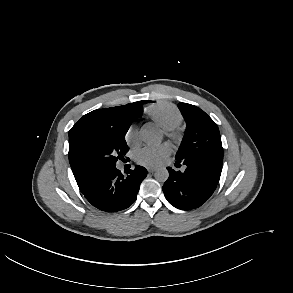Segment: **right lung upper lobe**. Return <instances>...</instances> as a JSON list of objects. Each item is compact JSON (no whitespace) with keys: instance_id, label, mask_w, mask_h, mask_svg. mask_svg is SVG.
I'll list each match as a JSON object with an SVG mask.
<instances>
[{"instance_id":"obj_1","label":"right lung upper lobe","mask_w":293,"mask_h":293,"mask_svg":"<svg viewBox=\"0 0 293 293\" xmlns=\"http://www.w3.org/2000/svg\"><path fill=\"white\" fill-rule=\"evenodd\" d=\"M144 103L146 102L138 101L135 103L124 105V106L94 110L84 115L69 131V153H68L69 162L81 192H84L85 190H87L92 185L94 180L98 177V175L101 174L104 170L91 169L76 159L73 148H74V141H75L77 130L81 126L87 123L113 121L119 114L125 111H129L131 109H141V105Z\"/></svg>"}]
</instances>
